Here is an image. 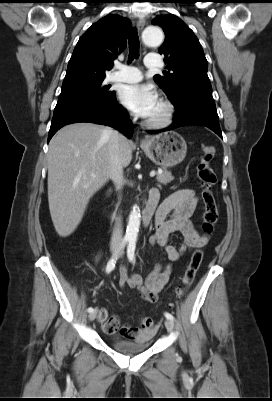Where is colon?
Masks as SVG:
<instances>
[{
    "label": "colon",
    "instance_id": "obj_1",
    "mask_svg": "<svg viewBox=\"0 0 272 401\" xmlns=\"http://www.w3.org/2000/svg\"><path fill=\"white\" fill-rule=\"evenodd\" d=\"M215 156V148L210 145H205L202 148V155L196 166L198 178L201 181L202 191L201 199L203 203V221L202 231L206 236H209L218 219V209L216 198L214 194V188L217 185L218 179L215 171L211 167V162ZM203 259V252L201 249H197L191 256L188 267L185 274L182 277V285L177 291L178 296H182L187 289L191 286L194 281L195 275L199 269L201 261ZM101 318L106 322L108 318L102 315ZM145 322H153L151 318L143 319Z\"/></svg>",
    "mask_w": 272,
    "mask_h": 401
}]
</instances>
